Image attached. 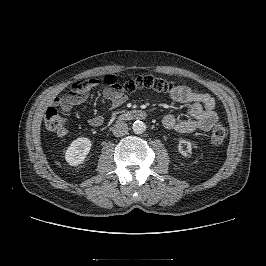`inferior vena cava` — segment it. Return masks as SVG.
Instances as JSON below:
<instances>
[{"instance_id":"1","label":"inferior vena cava","mask_w":266,"mask_h":266,"mask_svg":"<svg viewBox=\"0 0 266 266\" xmlns=\"http://www.w3.org/2000/svg\"><path fill=\"white\" fill-rule=\"evenodd\" d=\"M112 131H113V134L117 137L124 136L128 132V125L125 122L117 121Z\"/></svg>"}]
</instances>
